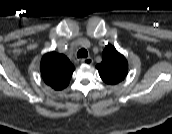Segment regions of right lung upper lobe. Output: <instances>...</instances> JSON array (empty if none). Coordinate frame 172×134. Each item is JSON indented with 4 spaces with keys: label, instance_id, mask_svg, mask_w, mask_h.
<instances>
[{
    "label": "right lung upper lobe",
    "instance_id": "1",
    "mask_svg": "<svg viewBox=\"0 0 172 134\" xmlns=\"http://www.w3.org/2000/svg\"><path fill=\"white\" fill-rule=\"evenodd\" d=\"M75 67L63 54L55 51L42 57L40 71L46 84L55 90H62L68 86Z\"/></svg>",
    "mask_w": 172,
    "mask_h": 134
}]
</instances>
